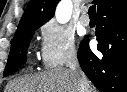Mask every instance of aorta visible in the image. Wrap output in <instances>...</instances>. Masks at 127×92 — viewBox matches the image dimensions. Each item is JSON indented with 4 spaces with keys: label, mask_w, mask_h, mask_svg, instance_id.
<instances>
[{
    "label": "aorta",
    "mask_w": 127,
    "mask_h": 92,
    "mask_svg": "<svg viewBox=\"0 0 127 92\" xmlns=\"http://www.w3.org/2000/svg\"><path fill=\"white\" fill-rule=\"evenodd\" d=\"M72 2L71 0H62L55 12V18L59 23H66L69 21L72 14Z\"/></svg>",
    "instance_id": "aorta-1"
}]
</instances>
